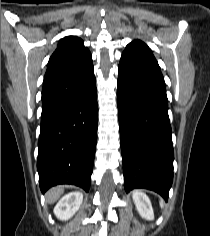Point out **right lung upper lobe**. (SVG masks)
<instances>
[{"mask_svg": "<svg viewBox=\"0 0 210 236\" xmlns=\"http://www.w3.org/2000/svg\"><path fill=\"white\" fill-rule=\"evenodd\" d=\"M92 64L89 50L83 41L75 36L63 38L49 59L44 82L63 77Z\"/></svg>", "mask_w": 210, "mask_h": 236, "instance_id": "obj_1", "label": "right lung upper lobe"}]
</instances>
